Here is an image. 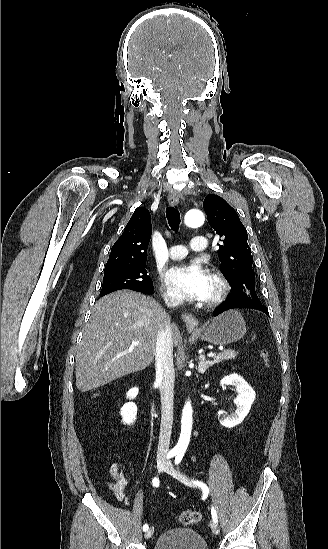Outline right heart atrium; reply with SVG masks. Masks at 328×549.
I'll return each instance as SVG.
<instances>
[{"label": "right heart atrium", "instance_id": "d8ad5b80", "mask_svg": "<svg viewBox=\"0 0 328 549\" xmlns=\"http://www.w3.org/2000/svg\"><path fill=\"white\" fill-rule=\"evenodd\" d=\"M162 295L167 303H180V300L165 286L162 287Z\"/></svg>", "mask_w": 328, "mask_h": 549}]
</instances>
